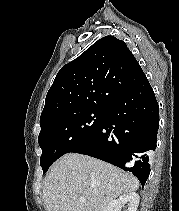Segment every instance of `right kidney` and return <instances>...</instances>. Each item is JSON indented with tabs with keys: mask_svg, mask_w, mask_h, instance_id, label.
I'll list each match as a JSON object with an SVG mask.
<instances>
[{
	"mask_svg": "<svg viewBox=\"0 0 179 211\" xmlns=\"http://www.w3.org/2000/svg\"><path fill=\"white\" fill-rule=\"evenodd\" d=\"M139 201L140 197L136 192H129L109 203L104 211H121L124 205H128L126 211H137Z\"/></svg>",
	"mask_w": 179,
	"mask_h": 211,
	"instance_id": "obj_1",
	"label": "right kidney"
}]
</instances>
